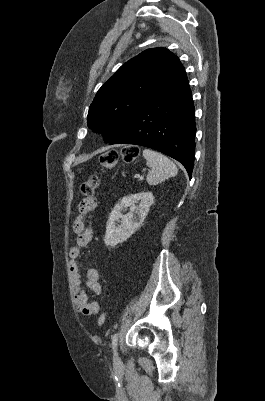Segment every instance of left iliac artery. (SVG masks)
<instances>
[{
  "label": "left iliac artery",
  "instance_id": "obj_1",
  "mask_svg": "<svg viewBox=\"0 0 265 401\" xmlns=\"http://www.w3.org/2000/svg\"><path fill=\"white\" fill-rule=\"evenodd\" d=\"M117 341H118V333H115L112 336V347L115 349L117 347Z\"/></svg>",
  "mask_w": 265,
  "mask_h": 401
}]
</instances>
